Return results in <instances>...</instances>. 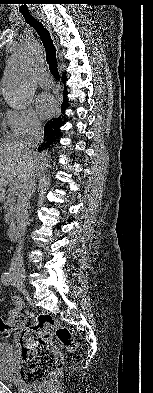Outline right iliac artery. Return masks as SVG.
Returning <instances> with one entry per match:
<instances>
[{"instance_id": "obj_1", "label": "right iliac artery", "mask_w": 153, "mask_h": 393, "mask_svg": "<svg viewBox=\"0 0 153 393\" xmlns=\"http://www.w3.org/2000/svg\"><path fill=\"white\" fill-rule=\"evenodd\" d=\"M1 281H2V283L5 284V285H10L11 282H12V276H11V274L8 273V272L3 273L2 276H1Z\"/></svg>"}]
</instances>
